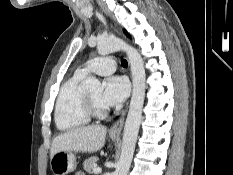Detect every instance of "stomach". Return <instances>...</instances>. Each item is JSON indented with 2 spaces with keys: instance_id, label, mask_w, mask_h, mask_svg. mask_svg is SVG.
Wrapping results in <instances>:
<instances>
[{
  "instance_id": "obj_1",
  "label": "stomach",
  "mask_w": 233,
  "mask_h": 175,
  "mask_svg": "<svg viewBox=\"0 0 233 175\" xmlns=\"http://www.w3.org/2000/svg\"><path fill=\"white\" fill-rule=\"evenodd\" d=\"M112 140L118 139V136H111ZM50 167L54 175H67L76 168L75 155L70 151L57 152L50 161Z\"/></svg>"
}]
</instances>
